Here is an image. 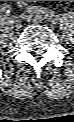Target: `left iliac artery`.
<instances>
[{"instance_id": "44dca946", "label": "left iliac artery", "mask_w": 74, "mask_h": 122, "mask_svg": "<svg viewBox=\"0 0 74 122\" xmlns=\"http://www.w3.org/2000/svg\"><path fill=\"white\" fill-rule=\"evenodd\" d=\"M28 12L31 14H36L38 16H43L53 24H56L59 20V16L54 11L48 10L44 7L28 8Z\"/></svg>"}]
</instances>
